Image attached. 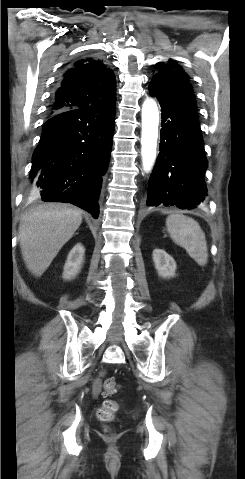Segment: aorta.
<instances>
[{
	"instance_id": "aorta-1",
	"label": "aorta",
	"mask_w": 245,
	"mask_h": 479,
	"mask_svg": "<svg viewBox=\"0 0 245 479\" xmlns=\"http://www.w3.org/2000/svg\"><path fill=\"white\" fill-rule=\"evenodd\" d=\"M159 111L152 99H146L142 106L141 155L144 171L151 170L156 159Z\"/></svg>"
}]
</instances>
